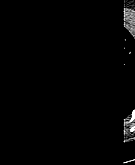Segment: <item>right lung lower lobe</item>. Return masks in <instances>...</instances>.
I'll return each instance as SVG.
<instances>
[{
	"mask_svg": "<svg viewBox=\"0 0 135 165\" xmlns=\"http://www.w3.org/2000/svg\"><path fill=\"white\" fill-rule=\"evenodd\" d=\"M58 84L50 79L37 85L31 78L0 79V122L34 127L51 112Z\"/></svg>",
	"mask_w": 135,
	"mask_h": 165,
	"instance_id": "obj_1",
	"label": "right lung lower lobe"
}]
</instances>
